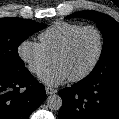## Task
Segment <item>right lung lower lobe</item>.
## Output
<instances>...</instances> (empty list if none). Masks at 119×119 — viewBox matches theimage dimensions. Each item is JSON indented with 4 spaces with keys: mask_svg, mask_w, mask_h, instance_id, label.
<instances>
[{
    "mask_svg": "<svg viewBox=\"0 0 119 119\" xmlns=\"http://www.w3.org/2000/svg\"><path fill=\"white\" fill-rule=\"evenodd\" d=\"M45 98L44 86L27 68L0 71V119H29Z\"/></svg>",
    "mask_w": 119,
    "mask_h": 119,
    "instance_id": "1",
    "label": "right lung lower lobe"
}]
</instances>
